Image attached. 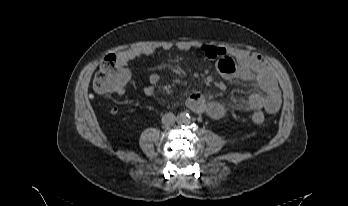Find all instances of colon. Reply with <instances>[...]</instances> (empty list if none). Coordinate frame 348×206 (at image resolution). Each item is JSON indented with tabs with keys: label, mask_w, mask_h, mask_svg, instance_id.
I'll use <instances>...</instances> for the list:
<instances>
[{
	"label": "colon",
	"mask_w": 348,
	"mask_h": 206,
	"mask_svg": "<svg viewBox=\"0 0 348 206\" xmlns=\"http://www.w3.org/2000/svg\"><path fill=\"white\" fill-rule=\"evenodd\" d=\"M130 73L124 64H122L115 54L106 55L100 63L95 74L93 85L100 94H111L122 91L129 83ZM117 109L113 107L112 113ZM252 121L255 124H262L265 121V114L262 111H255L252 114Z\"/></svg>",
	"instance_id": "5ec220e1"
}]
</instances>
